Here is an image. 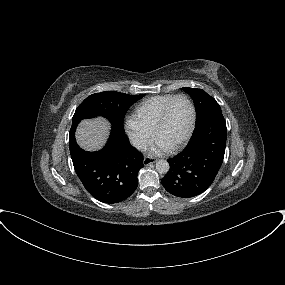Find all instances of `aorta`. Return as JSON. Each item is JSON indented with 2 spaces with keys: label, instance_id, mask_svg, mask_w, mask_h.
I'll use <instances>...</instances> for the list:
<instances>
[{
  "label": "aorta",
  "instance_id": "1",
  "mask_svg": "<svg viewBox=\"0 0 285 285\" xmlns=\"http://www.w3.org/2000/svg\"><path fill=\"white\" fill-rule=\"evenodd\" d=\"M169 163L166 160H159L156 162V170L160 174H165L169 171Z\"/></svg>",
  "mask_w": 285,
  "mask_h": 285
}]
</instances>
